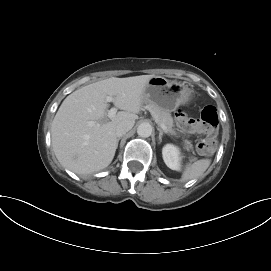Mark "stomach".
<instances>
[{
    "mask_svg": "<svg viewBox=\"0 0 271 271\" xmlns=\"http://www.w3.org/2000/svg\"><path fill=\"white\" fill-rule=\"evenodd\" d=\"M193 96L194 91L188 86L161 76H155L145 86L143 101L155 104L167 112H172L180 105L191 101Z\"/></svg>",
    "mask_w": 271,
    "mask_h": 271,
    "instance_id": "obj_1",
    "label": "stomach"
}]
</instances>
